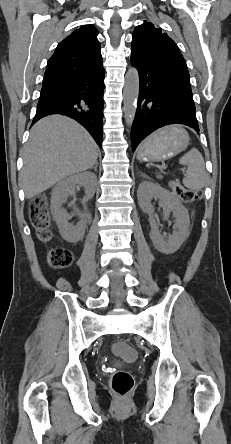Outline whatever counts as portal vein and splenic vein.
I'll return each mask as SVG.
<instances>
[{"label":"portal vein and splenic vein","mask_w":231,"mask_h":444,"mask_svg":"<svg viewBox=\"0 0 231 444\" xmlns=\"http://www.w3.org/2000/svg\"><path fill=\"white\" fill-rule=\"evenodd\" d=\"M161 168H162V169H164V168H165V166H162ZM182 170H184V169H182Z\"/></svg>","instance_id":"18ae733b"}]
</instances>
